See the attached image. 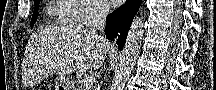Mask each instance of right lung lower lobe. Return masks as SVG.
Here are the masks:
<instances>
[{"label": "right lung lower lobe", "instance_id": "obj_1", "mask_svg": "<svg viewBox=\"0 0 216 90\" xmlns=\"http://www.w3.org/2000/svg\"><path fill=\"white\" fill-rule=\"evenodd\" d=\"M141 0H128L125 5L121 6L106 18L105 34L108 39L113 40L118 34L117 44L122 50L128 31L134 16L140 8Z\"/></svg>", "mask_w": 216, "mask_h": 90}]
</instances>
